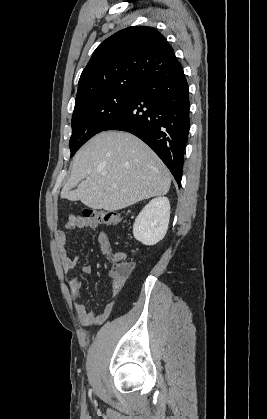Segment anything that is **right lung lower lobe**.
<instances>
[{
    "mask_svg": "<svg viewBox=\"0 0 267 419\" xmlns=\"http://www.w3.org/2000/svg\"><path fill=\"white\" fill-rule=\"evenodd\" d=\"M188 89L176 61L148 77L122 113L103 129L127 131L143 140L170 169L179 187L190 129Z\"/></svg>",
    "mask_w": 267,
    "mask_h": 419,
    "instance_id": "1",
    "label": "right lung lower lobe"
}]
</instances>
